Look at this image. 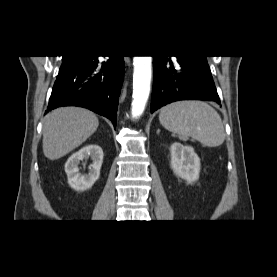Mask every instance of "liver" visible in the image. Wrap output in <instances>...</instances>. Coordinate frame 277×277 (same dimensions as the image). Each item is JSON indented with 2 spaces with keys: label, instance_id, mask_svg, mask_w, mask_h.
<instances>
[{
  "label": "liver",
  "instance_id": "6515ba94",
  "mask_svg": "<svg viewBox=\"0 0 277 277\" xmlns=\"http://www.w3.org/2000/svg\"><path fill=\"white\" fill-rule=\"evenodd\" d=\"M99 126L96 115L80 107H62L47 114L43 122V153L59 159L85 142Z\"/></svg>",
  "mask_w": 277,
  "mask_h": 277
}]
</instances>
